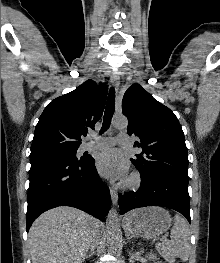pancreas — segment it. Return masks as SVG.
Masks as SVG:
<instances>
[{
    "mask_svg": "<svg viewBox=\"0 0 220 263\" xmlns=\"http://www.w3.org/2000/svg\"><path fill=\"white\" fill-rule=\"evenodd\" d=\"M159 250L161 252V254L163 255L164 258L168 259V260H172L173 258L170 256V250H169V244L165 243L160 245Z\"/></svg>",
    "mask_w": 220,
    "mask_h": 263,
    "instance_id": "obj_1",
    "label": "pancreas"
}]
</instances>
